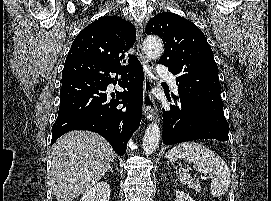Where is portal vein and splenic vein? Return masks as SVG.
I'll use <instances>...</instances> for the list:
<instances>
[{
    "label": "portal vein and splenic vein",
    "instance_id": "portal-vein-and-splenic-vein-1",
    "mask_svg": "<svg viewBox=\"0 0 271 201\" xmlns=\"http://www.w3.org/2000/svg\"><path fill=\"white\" fill-rule=\"evenodd\" d=\"M200 177H201V179H203V180H206V179H207V177H206V176H203V175H201Z\"/></svg>",
    "mask_w": 271,
    "mask_h": 201
}]
</instances>
